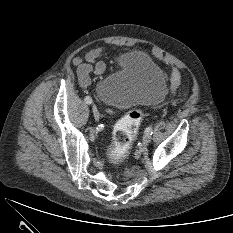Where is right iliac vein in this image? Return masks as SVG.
I'll return each mask as SVG.
<instances>
[{
  "mask_svg": "<svg viewBox=\"0 0 233 233\" xmlns=\"http://www.w3.org/2000/svg\"><path fill=\"white\" fill-rule=\"evenodd\" d=\"M92 111H93V115H94L95 120H99V118H100V113H99V111H98V109L96 108L95 105H93Z\"/></svg>",
  "mask_w": 233,
  "mask_h": 233,
  "instance_id": "obj_1",
  "label": "right iliac vein"
}]
</instances>
